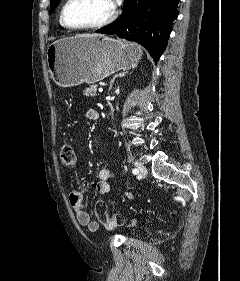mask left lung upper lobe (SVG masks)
I'll return each instance as SVG.
<instances>
[{"mask_svg": "<svg viewBox=\"0 0 240 281\" xmlns=\"http://www.w3.org/2000/svg\"><path fill=\"white\" fill-rule=\"evenodd\" d=\"M60 0H50V14L54 11L55 7L59 4Z\"/></svg>", "mask_w": 240, "mask_h": 281, "instance_id": "obj_1", "label": "left lung upper lobe"}]
</instances>
